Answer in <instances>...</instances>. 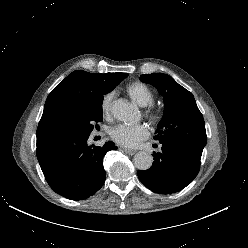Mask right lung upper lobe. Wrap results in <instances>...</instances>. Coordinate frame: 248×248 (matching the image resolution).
I'll return each instance as SVG.
<instances>
[{
	"mask_svg": "<svg viewBox=\"0 0 248 248\" xmlns=\"http://www.w3.org/2000/svg\"><path fill=\"white\" fill-rule=\"evenodd\" d=\"M120 74H92L83 70L72 72L48 95L39 126L57 118L63 112H72L84 107L101 86L117 80Z\"/></svg>",
	"mask_w": 248,
	"mask_h": 248,
	"instance_id": "obj_1",
	"label": "right lung upper lobe"
}]
</instances>
